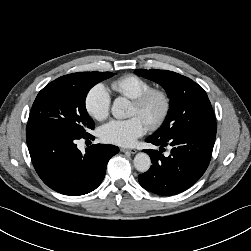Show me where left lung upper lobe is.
<instances>
[{
    "label": "left lung upper lobe",
    "mask_w": 251,
    "mask_h": 251,
    "mask_svg": "<svg viewBox=\"0 0 251 251\" xmlns=\"http://www.w3.org/2000/svg\"><path fill=\"white\" fill-rule=\"evenodd\" d=\"M135 73L160 84L170 98L168 115L151 137L167 139L185 131L216 130L208 96L193 80L168 70L137 69Z\"/></svg>",
    "instance_id": "obj_1"
}]
</instances>
